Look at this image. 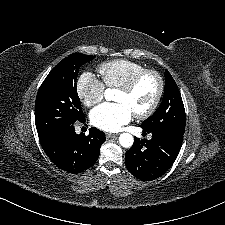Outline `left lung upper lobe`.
<instances>
[{
    "instance_id": "1",
    "label": "left lung upper lobe",
    "mask_w": 225,
    "mask_h": 225,
    "mask_svg": "<svg viewBox=\"0 0 225 225\" xmlns=\"http://www.w3.org/2000/svg\"><path fill=\"white\" fill-rule=\"evenodd\" d=\"M185 109L181 94L171 74L165 70V90L163 100L155 113L140 125L143 128L163 130L184 134Z\"/></svg>"
}]
</instances>
